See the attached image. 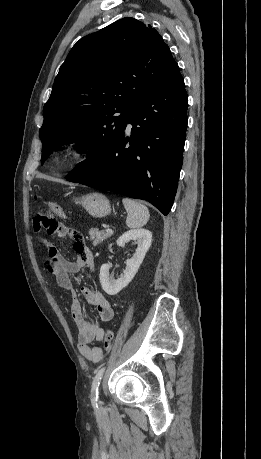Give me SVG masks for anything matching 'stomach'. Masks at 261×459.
<instances>
[{
	"instance_id": "0dacf381",
	"label": "stomach",
	"mask_w": 261,
	"mask_h": 459,
	"mask_svg": "<svg viewBox=\"0 0 261 459\" xmlns=\"http://www.w3.org/2000/svg\"><path fill=\"white\" fill-rule=\"evenodd\" d=\"M75 202L81 204L91 216L96 218L105 217L111 211L109 200L100 193H90L81 198H75Z\"/></svg>"
}]
</instances>
